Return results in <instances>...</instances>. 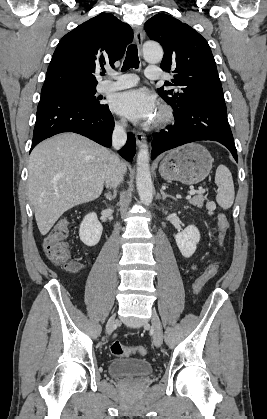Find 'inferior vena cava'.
I'll use <instances>...</instances> for the list:
<instances>
[{"instance_id": "inferior-vena-cava-1", "label": "inferior vena cava", "mask_w": 267, "mask_h": 419, "mask_svg": "<svg viewBox=\"0 0 267 419\" xmlns=\"http://www.w3.org/2000/svg\"><path fill=\"white\" fill-rule=\"evenodd\" d=\"M125 124H116L112 134V145L116 149H120L127 140L125 132ZM124 175L123 164L116 154H111L108 159V166L106 171V187L116 188L122 181Z\"/></svg>"}]
</instances>
